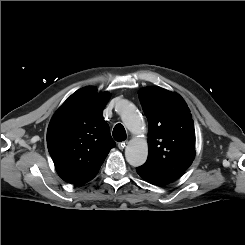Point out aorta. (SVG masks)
Returning <instances> with one entry per match:
<instances>
[{
  "label": "aorta",
  "mask_w": 245,
  "mask_h": 245,
  "mask_svg": "<svg viewBox=\"0 0 245 245\" xmlns=\"http://www.w3.org/2000/svg\"><path fill=\"white\" fill-rule=\"evenodd\" d=\"M117 110L126 128L137 135V138L132 139L125 149L126 160L131 166H141L148 156L147 141L138 138L145 131V122L136 106L127 100H121Z\"/></svg>",
  "instance_id": "762f6f07"
}]
</instances>
